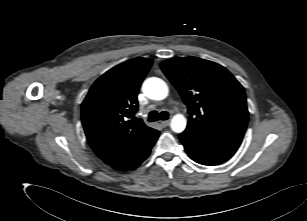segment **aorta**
Masks as SVG:
<instances>
[{
	"label": "aorta",
	"mask_w": 307,
	"mask_h": 221,
	"mask_svg": "<svg viewBox=\"0 0 307 221\" xmlns=\"http://www.w3.org/2000/svg\"><path fill=\"white\" fill-rule=\"evenodd\" d=\"M144 94L153 100H163L168 96V86L160 78L151 77L143 83ZM186 118L182 114L175 115L171 120V128L176 133H181L186 128Z\"/></svg>",
	"instance_id": "aorta-1"
}]
</instances>
